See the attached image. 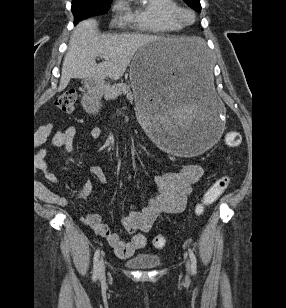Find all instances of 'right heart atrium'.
<instances>
[{"mask_svg":"<svg viewBox=\"0 0 286 308\" xmlns=\"http://www.w3.org/2000/svg\"><path fill=\"white\" fill-rule=\"evenodd\" d=\"M127 4L125 0H113L112 12L115 16H120L125 13Z\"/></svg>","mask_w":286,"mask_h":308,"instance_id":"1","label":"right heart atrium"}]
</instances>
